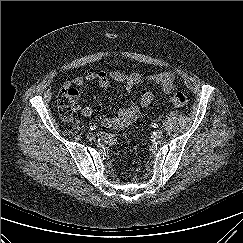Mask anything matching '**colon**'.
<instances>
[{"label": "colon", "mask_w": 243, "mask_h": 243, "mask_svg": "<svg viewBox=\"0 0 243 243\" xmlns=\"http://www.w3.org/2000/svg\"><path fill=\"white\" fill-rule=\"evenodd\" d=\"M171 103L176 107H183L187 104V96L182 92H177L170 97ZM57 104L60 116L64 120H70L76 110V97L72 90L62 89L57 96ZM127 168L120 167L119 173L125 175Z\"/></svg>", "instance_id": "1"}]
</instances>
